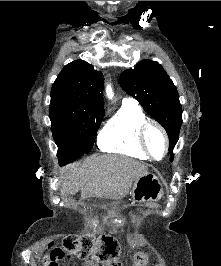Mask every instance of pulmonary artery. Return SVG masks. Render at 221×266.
<instances>
[{
  "instance_id": "obj_1",
  "label": "pulmonary artery",
  "mask_w": 221,
  "mask_h": 266,
  "mask_svg": "<svg viewBox=\"0 0 221 266\" xmlns=\"http://www.w3.org/2000/svg\"><path fill=\"white\" fill-rule=\"evenodd\" d=\"M123 105L138 106V101L132 97H126L123 99Z\"/></svg>"
}]
</instances>
